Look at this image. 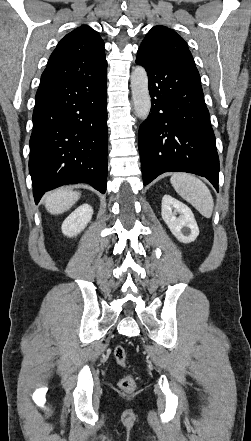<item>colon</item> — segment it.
I'll list each match as a JSON object with an SVG mask.
<instances>
[{
    "label": "colon",
    "instance_id": "1",
    "mask_svg": "<svg viewBox=\"0 0 251 441\" xmlns=\"http://www.w3.org/2000/svg\"><path fill=\"white\" fill-rule=\"evenodd\" d=\"M113 355H114L115 361L118 365H120L122 367H127V365H128L127 355H126L125 350L122 346H120V345L116 346L113 350ZM119 387L122 390L127 391V392L133 391L136 387L135 377L131 374L124 375L119 380Z\"/></svg>",
    "mask_w": 251,
    "mask_h": 441
}]
</instances>
